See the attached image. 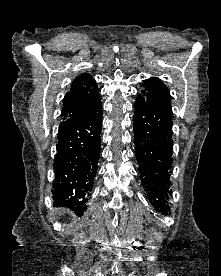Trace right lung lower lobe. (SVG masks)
Returning a JSON list of instances; mask_svg holds the SVG:
<instances>
[{
  "mask_svg": "<svg viewBox=\"0 0 221 276\" xmlns=\"http://www.w3.org/2000/svg\"><path fill=\"white\" fill-rule=\"evenodd\" d=\"M101 101L86 115L59 126L52 194L55 206L82 216L97 172L102 128Z\"/></svg>",
  "mask_w": 221,
  "mask_h": 276,
  "instance_id": "obj_1",
  "label": "right lung lower lobe"
}]
</instances>
